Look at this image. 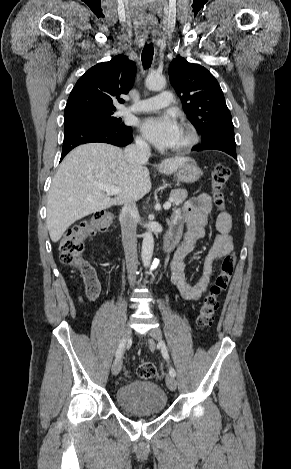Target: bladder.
<instances>
[{
    "mask_svg": "<svg viewBox=\"0 0 291 469\" xmlns=\"http://www.w3.org/2000/svg\"><path fill=\"white\" fill-rule=\"evenodd\" d=\"M119 407L127 413L153 415L167 406V395L152 381L133 380L121 386L116 393Z\"/></svg>",
    "mask_w": 291,
    "mask_h": 469,
    "instance_id": "31cf9c89",
    "label": "bladder"
}]
</instances>
